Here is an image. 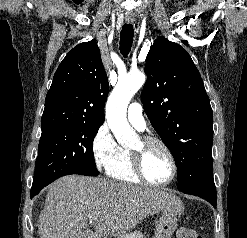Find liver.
Masks as SVG:
<instances>
[{
    "label": "liver",
    "instance_id": "6515ba94",
    "mask_svg": "<svg viewBox=\"0 0 247 238\" xmlns=\"http://www.w3.org/2000/svg\"><path fill=\"white\" fill-rule=\"evenodd\" d=\"M181 209L180 199L161 189L69 175L49 185L38 231L40 238L119 236L149 215ZM91 219L97 221L95 233L87 228Z\"/></svg>",
    "mask_w": 247,
    "mask_h": 238
}]
</instances>
